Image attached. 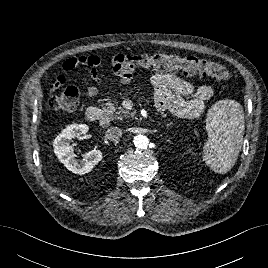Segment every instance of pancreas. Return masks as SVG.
Instances as JSON below:
<instances>
[{
  "instance_id": "cf45deb5",
  "label": "pancreas",
  "mask_w": 268,
  "mask_h": 268,
  "mask_svg": "<svg viewBox=\"0 0 268 268\" xmlns=\"http://www.w3.org/2000/svg\"><path fill=\"white\" fill-rule=\"evenodd\" d=\"M117 102H107L105 104V112L112 120H122L125 117L133 115L132 112L124 110L122 107H116Z\"/></svg>"
}]
</instances>
